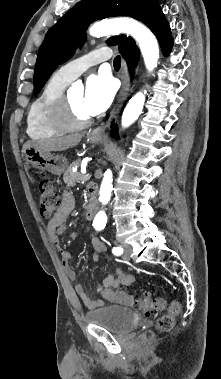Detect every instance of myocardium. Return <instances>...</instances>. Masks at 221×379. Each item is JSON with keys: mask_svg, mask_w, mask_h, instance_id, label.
<instances>
[{"mask_svg": "<svg viewBox=\"0 0 221 379\" xmlns=\"http://www.w3.org/2000/svg\"><path fill=\"white\" fill-rule=\"evenodd\" d=\"M52 120L59 127L65 130H75L88 126L91 123V117H79L66 94H62L52 109Z\"/></svg>", "mask_w": 221, "mask_h": 379, "instance_id": "f54148a6", "label": "myocardium"}]
</instances>
